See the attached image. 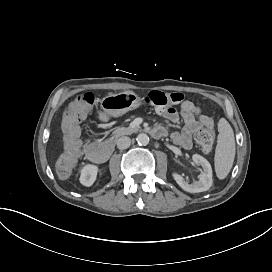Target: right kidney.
Instances as JSON below:
<instances>
[{
	"mask_svg": "<svg viewBox=\"0 0 272 272\" xmlns=\"http://www.w3.org/2000/svg\"><path fill=\"white\" fill-rule=\"evenodd\" d=\"M96 172L97 168L92 165H88L85 168H83L82 173H81V183L90 186L94 182L96 178Z\"/></svg>",
	"mask_w": 272,
	"mask_h": 272,
	"instance_id": "right-kidney-1",
	"label": "right kidney"
}]
</instances>
